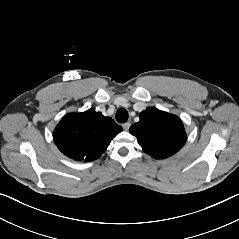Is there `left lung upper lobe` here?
<instances>
[{
  "mask_svg": "<svg viewBox=\"0 0 239 239\" xmlns=\"http://www.w3.org/2000/svg\"><path fill=\"white\" fill-rule=\"evenodd\" d=\"M129 131L136 136L144 152L155 159L175 154L186 142L182 121L176 115L153 107L142 111L140 120Z\"/></svg>",
  "mask_w": 239,
  "mask_h": 239,
  "instance_id": "left-lung-upper-lobe-1",
  "label": "left lung upper lobe"
}]
</instances>
